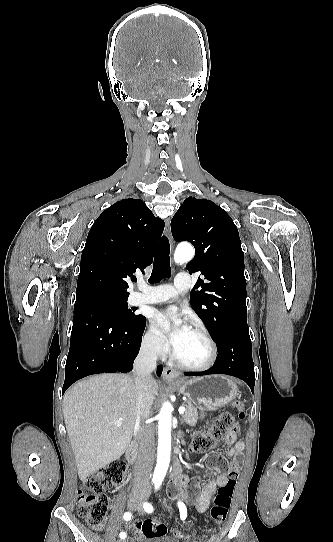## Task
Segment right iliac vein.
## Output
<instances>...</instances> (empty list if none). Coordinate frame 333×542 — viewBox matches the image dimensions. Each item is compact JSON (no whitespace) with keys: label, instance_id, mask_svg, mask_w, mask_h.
I'll list each match as a JSON object with an SVG mask.
<instances>
[{"label":"right iliac vein","instance_id":"right-iliac-vein-1","mask_svg":"<svg viewBox=\"0 0 333 542\" xmlns=\"http://www.w3.org/2000/svg\"><path fill=\"white\" fill-rule=\"evenodd\" d=\"M138 502L137 501H130L128 503V507L129 509H131L132 511L135 510L137 507H138Z\"/></svg>","mask_w":333,"mask_h":542}]
</instances>
